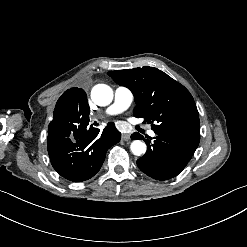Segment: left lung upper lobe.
Listing matches in <instances>:
<instances>
[{"instance_id": "obj_1", "label": "left lung upper lobe", "mask_w": 247, "mask_h": 247, "mask_svg": "<svg viewBox=\"0 0 247 247\" xmlns=\"http://www.w3.org/2000/svg\"><path fill=\"white\" fill-rule=\"evenodd\" d=\"M117 84L129 88L136 106L134 116L145 118L157 135H168L198 147L200 120L190 92L157 68L110 71Z\"/></svg>"}]
</instances>
